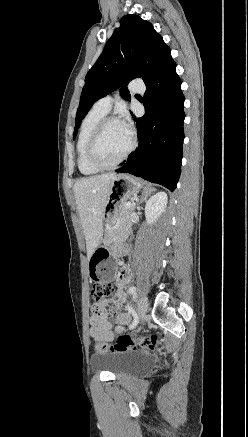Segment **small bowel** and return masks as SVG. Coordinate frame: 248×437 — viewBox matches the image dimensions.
I'll use <instances>...</instances> for the list:
<instances>
[{"mask_svg": "<svg viewBox=\"0 0 248 437\" xmlns=\"http://www.w3.org/2000/svg\"><path fill=\"white\" fill-rule=\"evenodd\" d=\"M128 279L129 271L128 269L123 268L119 273V278L117 281L118 289L115 298L99 302L93 306L89 327V334L93 339L102 342H110L114 339L115 333L112 323L109 320V315L106 311V308L110 304H115L117 306L126 304V297L123 287L127 283ZM129 320V314L123 312L118 313L115 320L116 332H122L124 326L129 322Z\"/></svg>", "mask_w": 248, "mask_h": 437, "instance_id": "c3829d8e", "label": "small bowel"}]
</instances>
